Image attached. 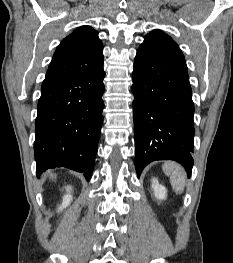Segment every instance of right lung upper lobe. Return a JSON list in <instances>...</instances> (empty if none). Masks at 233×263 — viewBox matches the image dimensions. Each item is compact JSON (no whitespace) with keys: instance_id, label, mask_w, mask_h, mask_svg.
I'll use <instances>...</instances> for the list:
<instances>
[{"instance_id":"cb5924a9","label":"right lung upper lobe","mask_w":233,"mask_h":263,"mask_svg":"<svg viewBox=\"0 0 233 263\" xmlns=\"http://www.w3.org/2000/svg\"><path fill=\"white\" fill-rule=\"evenodd\" d=\"M102 60L103 46L98 32L90 26H81L59 44L46 78L89 74Z\"/></svg>"}]
</instances>
